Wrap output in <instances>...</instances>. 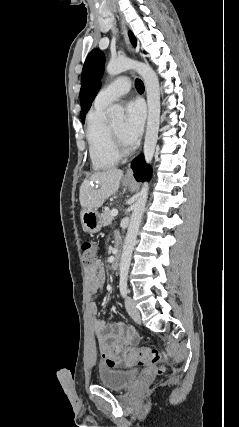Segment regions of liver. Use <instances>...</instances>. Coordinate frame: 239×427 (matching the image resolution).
I'll return each instance as SVG.
<instances>
[{"label":"liver","instance_id":"1","mask_svg":"<svg viewBox=\"0 0 239 427\" xmlns=\"http://www.w3.org/2000/svg\"><path fill=\"white\" fill-rule=\"evenodd\" d=\"M123 171L117 168H109L101 172H95L89 179L83 181L80 187L79 201L83 208L97 209L119 188ZM94 182L98 188L91 185Z\"/></svg>","mask_w":239,"mask_h":427}]
</instances>
